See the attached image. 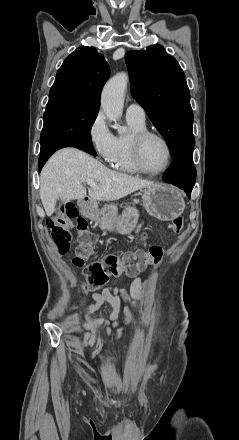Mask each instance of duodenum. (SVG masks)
Returning <instances> with one entry per match:
<instances>
[{"label": "duodenum", "mask_w": 239, "mask_h": 440, "mask_svg": "<svg viewBox=\"0 0 239 440\" xmlns=\"http://www.w3.org/2000/svg\"><path fill=\"white\" fill-rule=\"evenodd\" d=\"M82 205H83L84 207H86V206L88 205V200H87V199H83V200H82Z\"/></svg>", "instance_id": "obj_1"}]
</instances>
